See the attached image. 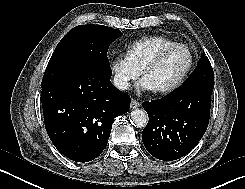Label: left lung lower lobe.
Here are the masks:
<instances>
[{"mask_svg":"<svg viewBox=\"0 0 245 189\" xmlns=\"http://www.w3.org/2000/svg\"><path fill=\"white\" fill-rule=\"evenodd\" d=\"M213 88L197 82L184 84L162 99L143 103L149 121L142 141L152 156L176 160L198 144L209 123Z\"/></svg>","mask_w":245,"mask_h":189,"instance_id":"obj_1","label":"left lung lower lobe"}]
</instances>
